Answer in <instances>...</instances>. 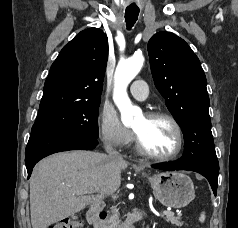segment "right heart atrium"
<instances>
[{"mask_svg":"<svg viewBox=\"0 0 238 228\" xmlns=\"http://www.w3.org/2000/svg\"><path fill=\"white\" fill-rule=\"evenodd\" d=\"M98 130L101 141L110 148H124L132 140L131 132L121 123L117 112L108 105L100 112Z\"/></svg>","mask_w":238,"mask_h":228,"instance_id":"obj_1","label":"right heart atrium"}]
</instances>
